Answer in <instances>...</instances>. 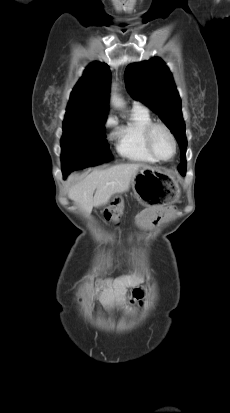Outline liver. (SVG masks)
<instances>
[{"label":"liver","mask_w":230,"mask_h":413,"mask_svg":"<svg viewBox=\"0 0 230 413\" xmlns=\"http://www.w3.org/2000/svg\"><path fill=\"white\" fill-rule=\"evenodd\" d=\"M142 166L139 163H123L105 170H94L69 188L68 197L89 215L93 207L103 206L114 194L127 191L133 175ZM72 178L70 176L69 179Z\"/></svg>","instance_id":"liver-1"}]
</instances>
